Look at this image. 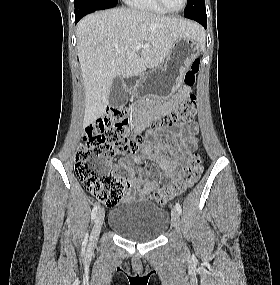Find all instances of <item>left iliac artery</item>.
<instances>
[{
    "instance_id": "1",
    "label": "left iliac artery",
    "mask_w": 280,
    "mask_h": 285,
    "mask_svg": "<svg viewBox=\"0 0 280 285\" xmlns=\"http://www.w3.org/2000/svg\"><path fill=\"white\" fill-rule=\"evenodd\" d=\"M175 207H176V209H177L178 213H179V214H181L182 209H181L180 204H179V203H176Z\"/></svg>"
}]
</instances>
